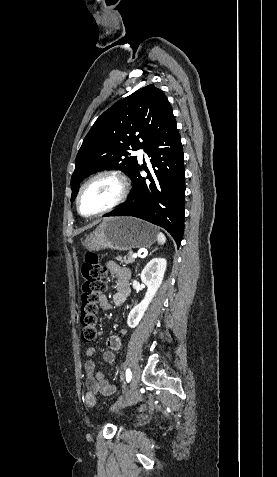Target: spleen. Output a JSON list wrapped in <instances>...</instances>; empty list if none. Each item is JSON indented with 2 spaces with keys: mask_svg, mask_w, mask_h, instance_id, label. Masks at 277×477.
Segmentation results:
<instances>
[{
  "mask_svg": "<svg viewBox=\"0 0 277 477\" xmlns=\"http://www.w3.org/2000/svg\"><path fill=\"white\" fill-rule=\"evenodd\" d=\"M157 241L161 245H163L166 242V237L162 232H159V234L157 236Z\"/></svg>",
  "mask_w": 277,
  "mask_h": 477,
  "instance_id": "3e777b00",
  "label": "spleen"
}]
</instances>
